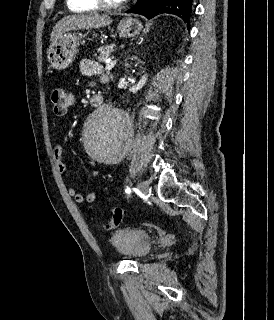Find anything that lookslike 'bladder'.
<instances>
[{"label":"bladder","instance_id":"31cf9c89","mask_svg":"<svg viewBox=\"0 0 274 320\" xmlns=\"http://www.w3.org/2000/svg\"><path fill=\"white\" fill-rule=\"evenodd\" d=\"M114 251L121 257L140 260L151 251V237L142 230L121 228L114 231L109 239Z\"/></svg>","mask_w":274,"mask_h":320}]
</instances>
